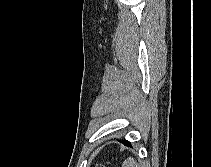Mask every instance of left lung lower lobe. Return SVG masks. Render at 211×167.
Instances as JSON below:
<instances>
[{"instance_id": "left-lung-lower-lobe-1", "label": "left lung lower lobe", "mask_w": 211, "mask_h": 167, "mask_svg": "<svg viewBox=\"0 0 211 167\" xmlns=\"http://www.w3.org/2000/svg\"><path fill=\"white\" fill-rule=\"evenodd\" d=\"M124 144H125V145H130V142L124 141Z\"/></svg>"}]
</instances>
